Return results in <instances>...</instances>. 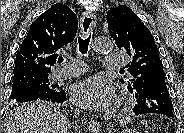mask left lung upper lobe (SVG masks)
I'll return each instance as SVG.
<instances>
[{
	"instance_id": "obj_1",
	"label": "left lung upper lobe",
	"mask_w": 184,
	"mask_h": 133,
	"mask_svg": "<svg viewBox=\"0 0 184 133\" xmlns=\"http://www.w3.org/2000/svg\"><path fill=\"white\" fill-rule=\"evenodd\" d=\"M108 29L120 50L126 51L131 62L127 70L132 75L128 83L130 93H135L147 85L157 70L163 69L159 51L149 29L127 6L120 5L107 13ZM123 83H125L122 80Z\"/></svg>"
}]
</instances>
